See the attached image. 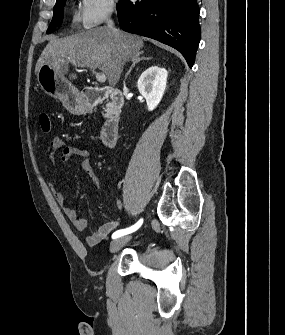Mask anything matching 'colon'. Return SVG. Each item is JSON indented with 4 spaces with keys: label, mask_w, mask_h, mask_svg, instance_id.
Returning a JSON list of instances; mask_svg holds the SVG:
<instances>
[{
    "label": "colon",
    "mask_w": 285,
    "mask_h": 335,
    "mask_svg": "<svg viewBox=\"0 0 285 335\" xmlns=\"http://www.w3.org/2000/svg\"><path fill=\"white\" fill-rule=\"evenodd\" d=\"M40 128L44 133H49L51 130V120L47 113H41L38 117Z\"/></svg>",
    "instance_id": "1"
}]
</instances>
